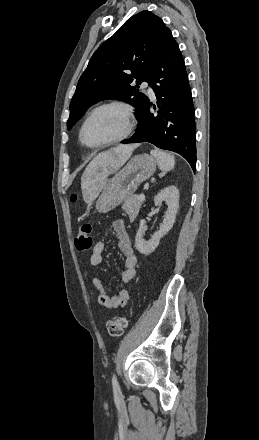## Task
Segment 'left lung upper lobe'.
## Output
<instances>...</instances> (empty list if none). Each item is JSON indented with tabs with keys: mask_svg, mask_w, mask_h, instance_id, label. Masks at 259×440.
<instances>
[{
	"mask_svg": "<svg viewBox=\"0 0 259 440\" xmlns=\"http://www.w3.org/2000/svg\"><path fill=\"white\" fill-rule=\"evenodd\" d=\"M171 34L161 18L142 11L128 19L93 54L70 103V129L87 108L104 99L123 100L137 109L149 102L132 83L149 82L151 71Z\"/></svg>",
	"mask_w": 259,
	"mask_h": 440,
	"instance_id": "obj_1",
	"label": "left lung upper lobe"
}]
</instances>
